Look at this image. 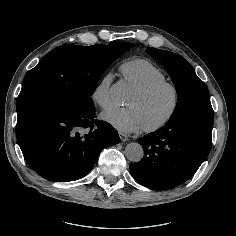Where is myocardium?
<instances>
[{
	"label": "myocardium",
	"mask_w": 236,
	"mask_h": 236,
	"mask_svg": "<svg viewBox=\"0 0 236 236\" xmlns=\"http://www.w3.org/2000/svg\"><path fill=\"white\" fill-rule=\"evenodd\" d=\"M164 88H168L172 92L173 103H172L171 109L168 112V114L161 121H159L156 124H153L151 126H144L143 130L145 132L153 133V132L159 131V130L163 129L164 127H166L172 121V119L174 118V116L176 115V113L179 109L180 101H181V94H180V90H179L178 86L175 83H173L171 81H167V80L154 83L144 89L135 90V93L140 98H147V97H150V96L156 94L157 92H159L160 90H162Z\"/></svg>",
	"instance_id": "f54148a6"
}]
</instances>
